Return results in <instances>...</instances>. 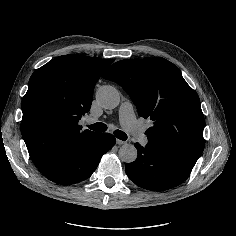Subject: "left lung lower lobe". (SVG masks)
<instances>
[{
	"mask_svg": "<svg viewBox=\"0 0 236 236\" xmlns=\"http://www.w3.org/2000/svg\"><path fill=\"white\" fill-rule=\"evenodd\" d=\"M137 159L125 166L126 174L139 187L163 191L183 183L195 163L164 147L135 143Z\"/></svg>",
	"mask_w": 236,
	"mask_h": 236,
	"instance_id": "left-lung-lower-lobe-1",
	"label": "left lung lower lobe"
}]
</instances>
